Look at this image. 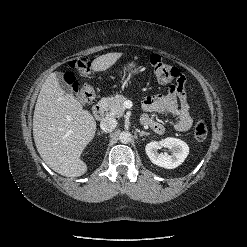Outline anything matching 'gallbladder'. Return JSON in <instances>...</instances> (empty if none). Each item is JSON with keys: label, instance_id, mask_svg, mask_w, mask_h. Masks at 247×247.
<instances>
[{"label": "gallbladder", "instance_id": "gallbladder-1", "mask_svg": "<svg viewBox=\"0 0 247 247\" xmlns=\"http://www.w3.org/2000/svg\"><path fill=\"white\" fill-rule=\"evenodd\" d=\"M56 77H57V79H58L60 88H61L64 92H66L67 94L72 95V94H73V91H72L70 85L64 81V74L61 73V72H57V73H56Z\"/></svg>", "mask_w": 247, "mask_h": 247}]
</instances>
